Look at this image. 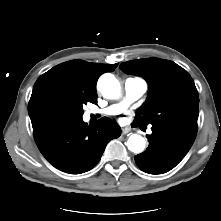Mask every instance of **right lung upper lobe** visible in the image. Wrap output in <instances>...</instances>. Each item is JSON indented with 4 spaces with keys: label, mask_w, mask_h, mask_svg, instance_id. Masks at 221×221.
<instances>
[{
    "label": "right lung upper lobe",
    "mask_w": 221,
    "mask_h": 221,
    "mask_svg": "<svg viewBox=\"0 0 221 221\" xmlns=\"http://www.w3.org/2000/svg\"><path fill=\"white\" fill-rule=\"evenodd\" d=\"M117 64H95L83 60L61 63L34 84L28 104L33 131L59 119L64 106L78 97L97 99L96 83L99 76L113 71Z\"/></svg>",
    "instance_id": "obj_1"
}]
</instances>
